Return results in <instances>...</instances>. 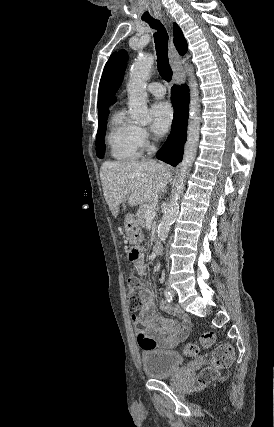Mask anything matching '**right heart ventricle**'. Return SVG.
<instances>
[{
  "instance_id": "1",
  "label": "right heart ventricle",
  "mask_w": 274,
  "mask_h": 427,
  "mask_svg": "<svg viewBox=\"0 0 274 427\" xmlns=\"http://www.w3.org/2000/svg\"><path fill=\"white\" fill-rule=\"evenodd\" d=\"M139 128L129 121L122 111L113 118V127L107 136L110 156L118 161L132 162L142 155V145L138 135Z\"/></svg>"
}]
</instances>
